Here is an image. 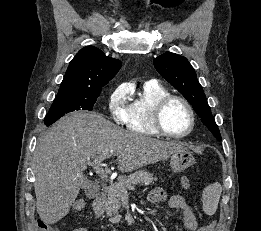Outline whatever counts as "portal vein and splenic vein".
I'll return each instance as SVG.
<instances>
[{
  "instance_id": "18ae733b",
  "label": "portal vein and splenic vein",
  "mask_w": 261,
  "mask_h": 231,
  "mask_svg": "<svg viewBox=\"0 0 261 231\" xmlns=\"http://www.w3.org/2000/svg\"><path fill=\"white\" fill-rule=\"evenodd\" d=\"M113 154H115V151H113V150L104 151L103 153L96 155L93 161L88 160V164L94 168V170L96 171V173L99 175V177L102 180L109 181L108 174L101 167V162L104 159H106L107 157L112 156ZM132 189H134V188H132Z\"/></svg>"
}]
</instances>
